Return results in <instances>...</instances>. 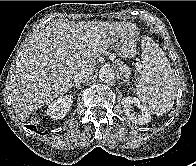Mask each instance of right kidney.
<instances>
[{
	"label": "right kidney",
	"instance_id": "right-kidney-1",
	"mask_svg": "<svg viewBox=\"0 0 196 166\" xmlns=\"http://www.w3.org/2000/svg\"><path fill=\"white\" fill-rule=\"evenodd\" d=\"M72 103V95L61 96L48 105L46 114L55 120L62 119L69 112Z\"/></svg>",
	"mask_w": 196,
	"mask_h": 166
}]
</instances>
